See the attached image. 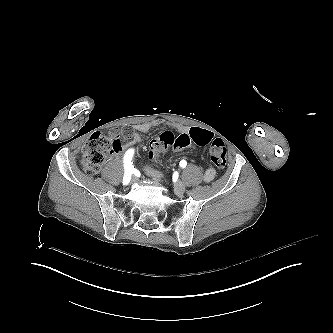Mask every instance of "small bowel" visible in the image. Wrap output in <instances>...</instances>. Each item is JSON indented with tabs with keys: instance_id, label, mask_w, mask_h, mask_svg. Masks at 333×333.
<instances>
[{
	"instance_id": "c3829d8e",
	"label": "small bowel",
	"mask_w": 333,
	"mask_h": 333,
	"mask_svg": "<svg viewBox=\"0 0 333 333\" xmlns=\"http://www.w3.org/2000/svg\"><path fill=\"white\" fill-rule=\"evenodd\" d=\"M160 125H164V122L161 120H156L151 123H142L136 125L133 129L134 135L132 139L127 143V148H133L137 143L141 142L142 140L141 134L148 132L154 126H160ZM166 126L168 128H171L173 126V123L171 121H168L166 123ZM174 128L176 130L180 129L183 130L179 135L180 137L197 136L199 138H212L211 132L205 129L201 128L188 129V126L186 124L181 125L180 123H176L174 125ZM214 176H215V170L213 168H209L206 170L204 174V180L206 182H210L213 180Z\"/></svg>"
}]
</instances>
